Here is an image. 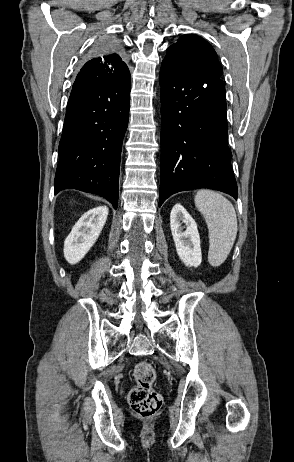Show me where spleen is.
Instances as JSON below:
<instances>
[{
	"mask_svg": "<svg viewBox=\"0 0 294 462\" xmlns=\"http://www.w3.org/2000/svg\"><path fill=\"white\" fill-rule=\"evenodd\" d=\"M194 200L209 230V263L219 266L229 255L237 235L235 209L225 197L210 190H199Z\"/></svg>",
	"mask_w": 294,
	"mask_h": 462,
	"instance_id": "1",
	"label": "spleen"
}]
</instances>
